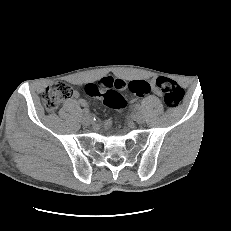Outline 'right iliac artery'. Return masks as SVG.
<instances>
[{"label":"right iliac artery","instance_id":"1","mask_svg":"<svg viewBox=\"0 0 231 231\" xmlns=\"http://www.w3.org/2000/svg\"><path fill=\"white\" fill-rule=\"evenodd\" d=\"M83 112L85 115H89V113H90L89 109H84Z\"/></svg>","mask_w":231,"mask_h":231}]
</instances>
